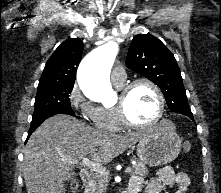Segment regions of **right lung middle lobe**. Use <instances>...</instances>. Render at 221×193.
<instances>
[{"mask_svg": "<svg viewBox=\"0 0 221 193\" xmlns=\"http://www.w3.org/2000/svg\"><path fill=\"white\" fill-rule=\"evenodd\" d=\"M74 85H53L38 87L32 120L56 112L74 113L69 94Z\"/></svg>", "mask_w": 221, "mask_h": 193, "instance_id": "dd1d6c3e", "label": "right lung middle lobe"}]
</instances>
